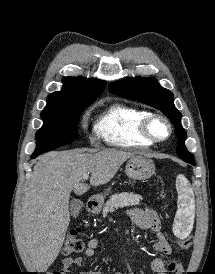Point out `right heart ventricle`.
<instances>
[{"label":"right heart ventricle","mask_w":215,"mask_h":274,"mask_svg":"<svg viewBox=\"0 0 215 274\" xmlns=\"http://www.w3.org/2000/svg\"><path fill=\"white\" fill-rule=\"evenodd\" d=\"M150 113L126 104L111 105L96 121L94 134L115 147H146L152 145L140 131L143 119Z\"/></svg>","instance_id":"e07e8e85"}]
</instances>
